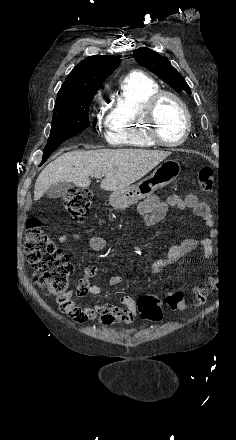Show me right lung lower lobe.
I'll return each instance as SVG.
<instances>
[{
  "mask_svg": "<svg viewBox=\"0 0 236 440\" xmlns=\"http://www.w3.org/2000/svg\"><path fill=\"white\" fill-rule=\"evenodd\" d=\"M58 146H56V147H51V148H45L44 150H43V159H42V163H41V165L47 160V158L49 157V155L57 148Z\"/></svg>",
  "mask_w": 236,
  "mask_h": 440,
  "instance_id": "98d812e1",
  "label": "right lung lower lobe"
}]
</instances>
